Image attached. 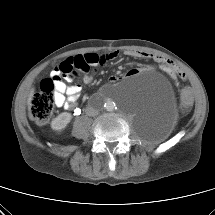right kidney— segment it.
Here are the masks:
<instances>
[{
    "mask_svg": "<svg viewBox=\"0 0 215 215\" xmlns=\"http://www.w3.org/2000/svg\"><path fill=\"white\" fill-rule=\"evenodd\" d=\"M72 115L68 112H63L54 118L51 122V128L57 132H61L70 123Z\"/></svg>",
    "mask_w": 215,
    "mask_h": 215,
    "instance_id": "obj_1",
    "label": "right kidney"
}]
</instances>
